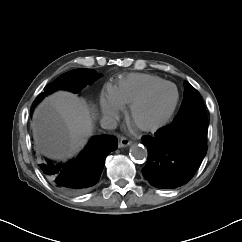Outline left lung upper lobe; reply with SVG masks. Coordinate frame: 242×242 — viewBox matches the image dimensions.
Wrapping results in <instances>:
<instances>
[{"label":"left lung upper lobe","instance_id":"5c2ea615","mask_svg":"<svg viewBox=\"0 0 242 242\" xmlns=\"http://www.w3.org/2000/svg\"><path fill=\"white\" fill-rule=\"evenodd\" d=\"M194 124H207L206 109L200 93L184 81V98L174 121L164 128L176 132Z\"/></svg>","mask_w":242,"mask_h":242}]
</instances>
